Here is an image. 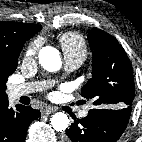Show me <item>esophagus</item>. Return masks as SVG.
I'll return each instance as SVG.
<instances>
[{
  "label": "esophagus",
  "mask_w": 142,
  "mask_h": 142,
  "mask_svg": "<svg viewBox=\"0 0 142 142\" xmlns=\"http://www.w3.org/2000/svg\"><path fill=\"white\" fill-rule=\"evenodd\" d=\"M56 110H57L56 108H53L51 106H46L42 109L41 113L42 115H49L54 113Z\"/></svg>",
  "instance_id": "1"
}]
</instances>
